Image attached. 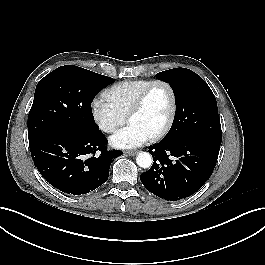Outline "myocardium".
Here are the masks:
<instances>
[{
    "instance_id": "f54148a6",
    "label": "myocardium",
    "mask_w": 265,
    "mask_h": 265,
    "mask_svg": "<svg viewBox=\"0 0 265 265\" xmlns=\"http://www.w3.org/2000/svg\"><path fill=\"white\" fill-rule=\"evenodd\" d=\"M156 86H163L167 89L169 96H170V111H169L168 117H167L164 125L162 126V128L158 132H156L153 136H151L150 139L152 141H157V140H160L161 138H163L169 132V130H170V128L174 122L175 115H176V109H177V101H176V94H175V91H174L172 85L165 80H153V81H151L140 92V94L138 95V97L134 101V103L131 106V108L128 112V115H127V121L129 122L131 117L134 116L136 113H138L142 109L148 94Z\"/></svg>"
}]
</instances>
